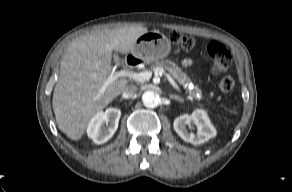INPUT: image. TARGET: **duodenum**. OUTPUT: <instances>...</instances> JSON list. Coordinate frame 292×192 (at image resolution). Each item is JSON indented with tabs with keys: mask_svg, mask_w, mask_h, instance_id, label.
Listing matches in <instances>:
<instances>
[{
	"mask_svg": "<svg viewBox=\"0 0 292 192\" xmlns=\"http://www.w3.org/2000/svg\"><path fill=\"white\" fill-rule=\"evenodd\" d=\"M126 62L130 66H136L140 63V59L134 55H128L126 58Z\"/></svg>",
	"mask_w": 292,
	"mask_h": 192,
	"instance_id": "obj_1",
	"label": "duodenum"
}]
</instances>
